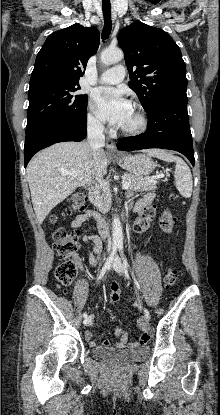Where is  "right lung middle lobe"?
<instances>
[{"label":"right lung middle lobe","mask_w":220,"mask_h":415,"mask_svg":"<svg viewBox=\"0 0 220 415\" xmlns=\"http://www.w3.org/2000/svg\"><path fill=\"white\" fill-rule=\"evenodd\" d=\"M79 83L53 78L30 80L26 133L49 122L70 125L86 118L87 95Z\"/></svg>","instance_id":"obj_1"}]
</instances>
